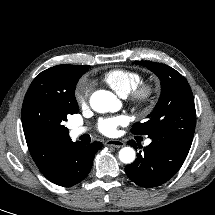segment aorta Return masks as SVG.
<instances>
[{
  "mask_svg": "<svg viewBox=\"0 0 215 215\" xmlns=\"http://www.w3.org/2000/svg\"><path fill=\"white\" fill-rule=\"evenodd\" d=\"M92 109L99 113L114 112L120 108L117 97L109 91L98 90L90 97ZM119 159L125 164H130L135 160V151L131 147H124L119 151Z\"/></svg>",
  "mask_w": 215,
  "mask_h": 215,
  "instance_id": "aorta-1",
  "label": "aorta"
}]
</instances>
